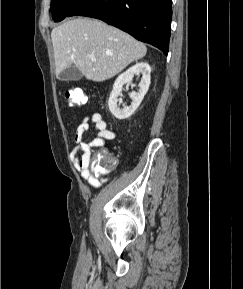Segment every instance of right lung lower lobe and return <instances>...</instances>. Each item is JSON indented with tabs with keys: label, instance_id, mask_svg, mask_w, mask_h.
<instances>
[{
	"label": "right lung lower lobe",
	"instance_id": "obj_1",
	"mask_svg": "<svg viewBox=\"0 0 243 289\" xmlns=\"http://www.w3.org/2000/svg\"><path fill=\"white\" fill-rule=\"evenodd\" d=\"M77 15L103 20L168 53L171 0H85L70 16Z\"/></svg>",
	"mask_w": 243,
	"mask_h": 289
}]
</instances>
